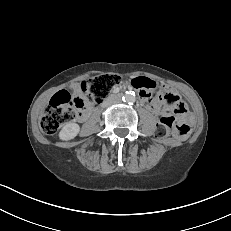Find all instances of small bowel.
<instances>
[{
    "label": "small bowel",
    "instance_id": "1",
    "mask_svg": "<svg viewBox=\"0 0 231 231\" xmlns=\"http://www.w3.org/2000/svg\"><path fill=\"white\" fill-rule=\"evenodd\" d=\"M73 91L77 95L81 94V90H80V87H79L78 84H76V85L73 86ZM165 93H168L169 95H171L172 97H174V99L177 102H180V98H179L178 94L173 89L167 88ZM143 99H144V102H145L147 108H149L153 113H155L157 115L158 114H162V113H169L170 110H171L169 106L163 107L160 101L150 99L148 95L143 96ZM84 117H85V114H82L81 115V119H83Z\"/></svg>",
    "mask_w": 231,
    "mask_h": 231
}]
</instances>
